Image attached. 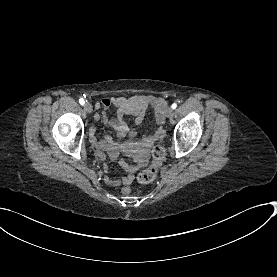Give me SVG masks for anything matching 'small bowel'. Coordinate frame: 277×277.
Listing matches in <instances>:
<instances>
[{
    "mask_svg": "<svg viewBox=\"0 0 277 277\" xmlns=\"http://www.w3.org/2000/svg\"><path fill=\"white\" fill-rule=\"evenodd\" d=\"M110 102L116 107V114L113 118H108L109 113L106 110L101 111L100 116L104 119L106 125L117 131L118 136L123 137L129 135L136 136V131L129 129L126 122V116H133L135 124L139 125L143 122L145 113L149 107L154 110L156 124L162 126L164 122V109L166 102L163 98L152 95H135L131 97H113L112 99L104 98L101 105L107 110H110ZM99 115L95 119L100 118ZM91 140L94 149L101 153L107 151L111 157H116L120 149L133 154L135 164H128L120 161V167L126 173L122 177L107 178V183L113 186L129 185L134 179L135 173L145 166L147 162V151L154 143L155 139L152 135L143 137L142 140H130L123 144L113 143L111 138L106 136L99 143H96L95 138L91 135Z\"/></svg>",
    "mask_w": 277,
    "mask_h": 277,
    "instance_id": "c3829d8e",
    "label": "small bowel"
}]
</instances>
